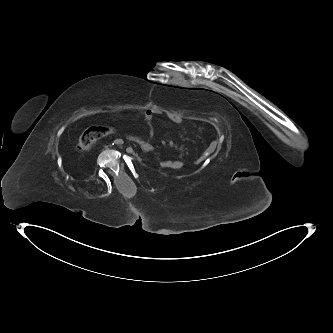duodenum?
Wrapping results in <instances>:
<instances>
[{
  "mask_svg": "<svg viewBox=\"0 0 333 333\" xmlns=\"http://www.w3.org/2000/svg\"><path fill=\"white\" fill-rule=\"evenodd\" d=\"M131 141L135 143L137 146H139V148L144 152H151L154 150V147L150 143L141 140L139 138L133 137L131 138Z\"/></svg>",
  "mask_w": 333,
  "mask_h": 333,
  "instance_id": "410a0bca",
  "label": "duodenum"
}]
</instances>
